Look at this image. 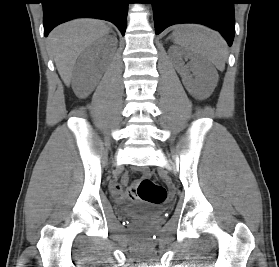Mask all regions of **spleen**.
<instances>
[{"label":"spleen","instance_id":"1","mask_svg":"<svg viewBox=\"0 0 279 267\" xmlns=\"http://www.w3.org/2000/svg\"><path fill=\"white\" fill-rule=\"evenodd\" d=\"M174 42L212 63L218 70L225 69L227 44L221 35L201 25L187 24L175 27Z\"/></svg>","mask_w":279,"mask_h":267}]
</instances>
